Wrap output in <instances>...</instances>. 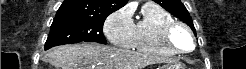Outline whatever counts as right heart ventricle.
<instances>
[{
  "mask_svg": "<svg viewBox=\"0 0 246 69\" xmlns=\"http://www.w3.org/2000/svg\"><path fill=\"white\" fill-rule=\"evenodd\" d=\"M172 21L175 20L167 10L152 2L145 3L141 8L139 19L134 23L130 48L162 57L174 54V51L167 47L161 38L162 28Z\"/></svg>",
  "mask_w": 246,
  "mask_h": 69,
  "instance_id": "right-heart-ventricle-1",
  "label": "right heart ventricle"
}]
</instances>
